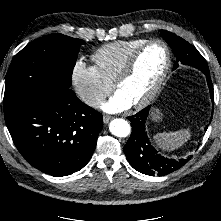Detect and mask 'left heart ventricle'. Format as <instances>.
I'll list each match as a JSON object with an SVG mask.
<instances>
[{
    "instance_id": "1",
    "label": "left heart ventricle",
    "mask_w": 221,
    "mask_h": 221,
    "mask_svg": "<svg viewBox=\"0 0 221 221\" xmlns=\"http://www.w3.org/2000/svg\"><path fill=\"white\" fill-rule=\"evenodd\" d=\"M166 62V53L160 44L147 47L139 56L133 73L119 90L132 104L142 100L160 78Z\"/></svg>"
}]
</instances>
